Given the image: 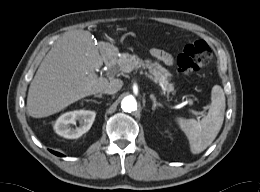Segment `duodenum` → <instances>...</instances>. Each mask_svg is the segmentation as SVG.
<instances>
[{"label":"duodenum","mask_w":260,"mask_h":192,"mask_svg":"<svg viewBox=\"0 0 260 192\" xmlns=\"http://www.w3.org/2000/svg\"><path fill=\"white\" fill-rule=\"evenodd\" d=\"M106 62H107V64H111L113 62V58L112 57H107L106 58Z\"/></svg>","instance_id":"410a0bca"}]
</instances>
